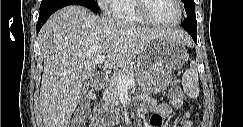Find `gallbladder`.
<instances>
[{
    "label": "gallbladder",
    "mask_w": 243,
    "mask_h": 127,
    "mask_svg": "<svg viewBox=\"0 0 243 127\" xmlns=\"http://www.w3.org/2000/svg\"><path fill=\"white\" fill-rule=\"evenodd\" d=\"M88 87H89V83H85V84H84V92L88 89ZM84 92H83V93H84Z\"/></svg>",
    "instance_id": "1"
}]
</instances>
